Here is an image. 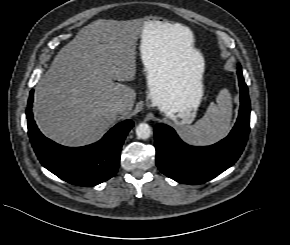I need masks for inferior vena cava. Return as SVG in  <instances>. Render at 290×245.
Returning <instances> with one entry per match:
<instances>
[{
    "label": "inferior vena cava",
    "instance_id": "1",
    "mask_svg": "<svg viewBox=\"0 0 290 245\" xmlns=\"http://www.w3.org/2000/svg\"><path fill=\"white\" fill-rule=\"evenodd\" d=\"M112 108L115 112H121L124 110V103L121 101H116L113 103Z\"/></svg>",
    "mask_w": 290,
    "mask_h": 245
}]
</instances>
